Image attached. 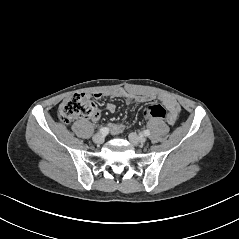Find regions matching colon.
<instances>
[{"instance_id": "colon-1", "label": "colon", "mask_w": 239, "mask_h": 239, "mask_svg": "<svg viewBox=\"0 0 239 239\" xmlns=\"http://www.w3.org/2000/svg\"><path fill=\"white\" fill-rule=\"evenodd\" d=\"M95 112V104L88 95L75 93L69 95L61 102L58 116L63 123L69 124L77 117L92 116ZM143 115L149 119H164L167 117V111L159 104H152L143 109Z\"/></svg>"}]
</instances>
